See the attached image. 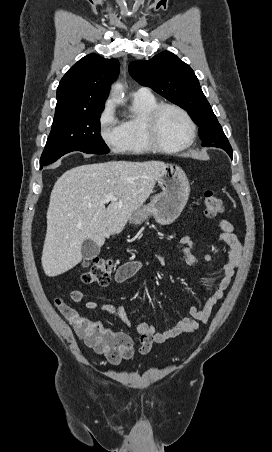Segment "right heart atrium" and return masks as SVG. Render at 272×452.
Instances as JSON below:
<instances>
[{"mask_svg": "<svg viewBox=\"0 0 272 452\" xmlns=\"http://www.w3.org/2000/svg\"><path fill=\"white\" fill-rule=\"evenodd\" d=\"M98 133L106 146L115 152L121 151L124 137L121 123L117 120L112 103L108 102L98 118Z\"/></svg>", "mask_w": 272, "mask_h": 452, "instance_id": "d8ad5b80", "label": "right heart atrium"}]
</instances>
